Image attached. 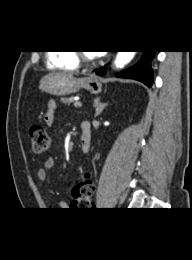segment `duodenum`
<instances>
[{"mask_svg": "<svg viewBox=\"0 0 192 260\" xmlns=\"http://www.w3.org/2000/svg\"><path fill=\"white\" fill-rule=\"evenodd\" d=\"M81 137H80V146L83 153H87L91 147V125L88 121H84L81 124Z\"/></svg>", "mask_w": 192, "mask_h": 260, "instance_id": "410a0bca", "label": "duodenum"}]
</instances>
